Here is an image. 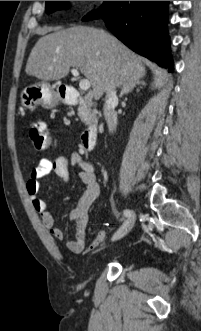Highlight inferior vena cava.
<instances>
[{
	"mask_svg": "<svg viewBox=\"0 0 201 331\" xmlns=\"http://www.w3.org/2000/svg\"><path fill=\"white\" fill-rule=\"evenodd\" d=\"M117 103L118 97L114 90V86H110L106 92L105 104L103 107L104 117L110 132L115 131L118 122L117 113L115 111Z\"/></svg>",
	"mask_w": 201,
	"mask_h": 331,
	"instance_id": "1",
	"label": "inferior vena cava"
}]
</instances>
